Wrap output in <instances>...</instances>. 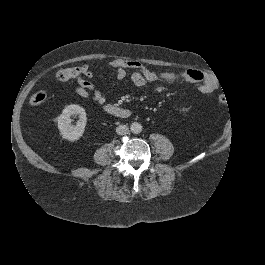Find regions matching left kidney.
Here are the masks:
<instances>
[{"label": "left kidney", "mask_w": 265, "mask_h": 265, "mask_svg": "<svg viewBox=\"0 0 265 265\" xmlns=\"http://www.w3.org/2000/svg\"><path fill=\"white\" fill-rule=\"evenodd\" d=\"M177 112H178V114H184L185 113V109L183 108V107H179V108H177Z\"/></svg>", "instance_id": "1"}]
</instances>
